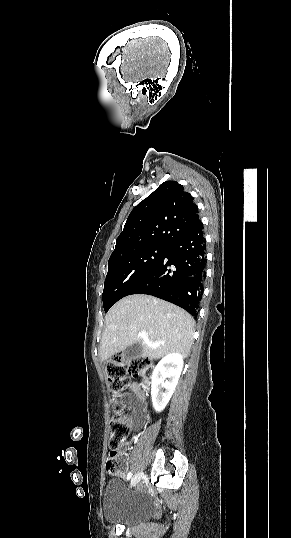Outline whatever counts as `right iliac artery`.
Instances as JSON below:
<instances>
[{
    "label": "right iliac artery",
    "instance_id": "right-iliac-artery-1",
    "mask_svg": "<svg viewBox=\"0 0 291 538\" xmlns=\"http://www.w3.org/2000/svg\"><path fill=\"white\" fill-rule=\"evenodd\" d=\"M131 476H132V473L129 472L128 475H127V480H129L131 478Z\"/></svg>",
    "mask_w": 291,
    "mask_h": 538
}]
</instances>
